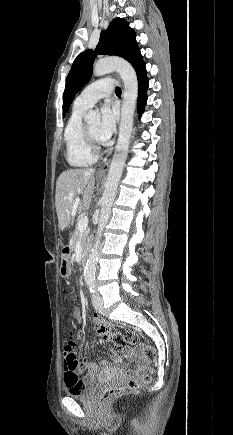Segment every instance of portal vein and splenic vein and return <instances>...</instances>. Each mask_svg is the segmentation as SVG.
Wrapping results in <instances>:
<instances>
[{"label": "portal vein and splenic vein", "instance_id": "portal-vein-and-splenic-vein-1", "mask_svg": "<svg viewBox=\"0 0 233 435\" xmlns=\"http://www.w3.org/2000/svg\"><path fill=\"white\" fill-rule=\"evenodd\" d=\"M79 202H80V199L76 198L74 206L77 207ZM77 226H78V229H79L80 232L84 231L86 229V227L88 226V217L87 216H83L79 220Z\"/></svg>", "mask_w": 233, "mask_h": 435}]
</instances>
